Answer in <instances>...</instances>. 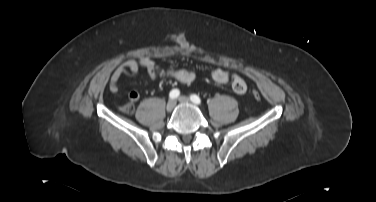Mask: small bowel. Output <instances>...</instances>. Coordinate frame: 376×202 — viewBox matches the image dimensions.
I'll return each instance as SVG.
<instances>
[{
	"mask_svg": "<svg viewBox=\"0 0 376 202\" xmlns=\"http://www.w3.org/2000/svg\"><path fill=\"white\" fill-rule=\"evenodd\" d=\"M140 69L146 70L151 78L166 77L183 84H190L195 80V73L187 68L169 67L162 69L151 58L141 56L124 61L113 71L109 81L110 92L117 93L120 79L124 76L135 75ZM210 77L219 84H226L232 81V90L238 95H243L247 91L245 81L233 72L215 68L210 72ZM139 98L140 95L136 91H131L128 94V99L132 103L137 102Z\"/></svg>",
	"mask_w": 376,
	"mask_h": 202,
	"instance_id": "small-bowel-1",
	"label": "small bowel"
}]
</instances>
